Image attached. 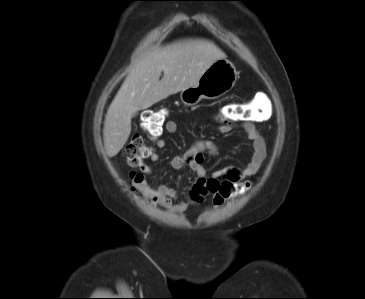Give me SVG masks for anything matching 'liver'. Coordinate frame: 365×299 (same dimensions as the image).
Returning <instances> with one entry per match:
<instances>
[{"label":"liver","mask_w":365,"mask_h":299,"mask_svg":"<svg viewBox=\"0 0 365 299\" xmlns=\"http://www.w3.org/2000/svg\"><path fill=\"white\" fill-rule=\"evenodd\" d=\"M225 57L212 42L187 40L155 49L141 59L107 111L103 134L108 155H117L128 140L133 113L194 86L213 62Z\"/></svg>","instance_id":"obj_1"}]
</instances>
